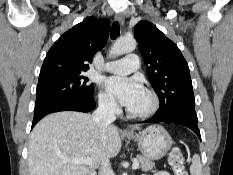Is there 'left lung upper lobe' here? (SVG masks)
I'll return each mask as SVG.
<instances>
[{"mask_svg":"<svg viewBox=\"0 0 233 175\" xmlns=\"http://www.w3.org/2000/svg\"><path fill=\"white\" fill-rule=\"evenodd\" d=\"M134 32L148 66V78L160 99L156 114L181 108L194 109L189 67L177 45L148 21H140Z\"/></svg>","mask_w":233,"mask_h":175,"instance_id":"obj_1","label":"left lung upper lobe"}]
</instances>
